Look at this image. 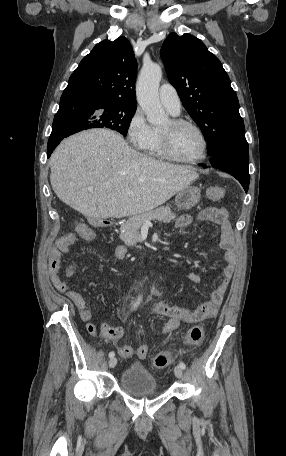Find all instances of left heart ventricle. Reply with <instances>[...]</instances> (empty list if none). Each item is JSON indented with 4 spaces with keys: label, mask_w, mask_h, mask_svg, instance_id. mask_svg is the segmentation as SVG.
<instances>
[{
    "label": "left heart ventricle",
    "mask_w": 286,
    "mask_h": 456,
    "mask_svg": "<svg viewBox=\"0 0 286 456\" xmlns=\"http://www.w3.org/2000/svg\"><path fill=\"white\" fill-rule=\"evenodd\" d=\"M160 131L169 134L173 152L183 159H195L201 156L203 143L199 134L190 127H174L169 120Z\"/></svg>",
    "instance_id": "obj_1"
}]
</instances>
